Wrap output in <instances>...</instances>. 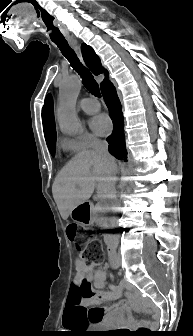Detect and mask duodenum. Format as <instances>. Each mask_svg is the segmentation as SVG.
I'll list each match as a JSON object with an SVG mask.
<instances>
[{
	"label": "duodenum",
	"instance_id": "410a0bca",
	"mask_svg": "<svg viewBox=\"0 0 193 336\" xmlns=\"http://www.w3.org/2000/svg\"><path fill=\"white\" fill-rule=\"evenodd\" d=\"M111 239V238H109ZM110 256H111V260H112V265L113 267H116V253H115V249L114 247L112 246L111 249H110ZM119 259V258H118ZM118 259H117V262H118ZM142 301L140 299H137L136 300V305L139 306L141 305Z\"/></svg>",
	"mask_w": 193,
	"mask_h": 336
}]
</instances>
